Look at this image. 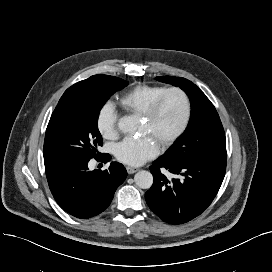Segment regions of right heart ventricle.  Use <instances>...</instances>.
Here are the masks:
<instances>
[{"mask_svg":"<svg viewBox=\"0 0 272 272\" xmlns=\"http://www.w3.org/2000/svg\"><path fill=\"white\" fill-rule=\"evenodd\" d=\"M166 89L164 85L138 84L121 96L120 104L132 114L143 115L154 99Z\"/></svg>","mask_w":272,"mask_h":272,"instance_id":"1","label":"right heart ventricle"}]
</instances>
